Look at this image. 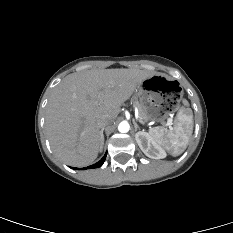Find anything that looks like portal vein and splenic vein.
I'll use <instances>...</instances> for the list:
<instances>
[{
  "label": "portal vein and splenic vein",
  "mask_w": 233,
  "mask_h": 233,
  "mask_svg": "<svg viewBox=\"0 0 233 233\" xmlns=\"http://www.w3.org/2000/svg\"><path fill=\"white\" fill-rule=\"evenodd\" d=\"M139 121L142 122L141 120H139ZM167 126L171 127V120H169V121L167 122Z\"/></svg>",
  "instance_id": "1"
}]
</instances>
